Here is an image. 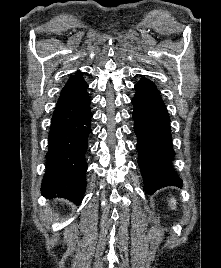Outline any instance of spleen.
<instances>
[{
    "label": "spleen",
    "mask_w": 221,
    "mask_h": 268,
    "mask_svg": "<svg viewBox=\"0 0 221 268\" xmlns=\"http://www.w3.org/2000/svg\"><path fill=\"white\" fill-rule=\"evenodd\" d=\"M175 206H176V200L172 198L170 201V207L171 209H175Z\"/></svg>",
    "instance_id": "spleen-1"
}]
</instances>
